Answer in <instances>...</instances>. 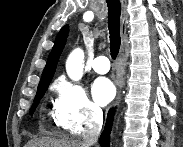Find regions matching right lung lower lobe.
Returning <instances> with one entry per match:
<instances>
[{
	"mask_svg": "<svg viewBox=\"0 0 183 147\" xmlns=\"http://www.w3.org/2000/svg\"><path fill=\"white\" fill-rule=\"evenodd\" d=\"M114 111H109L104 130L100 136V144L102 147H109L110 132L113 121Z\"/></svg>",
	"mask_w": 183,
	"mask_h": 147,
	"instance_id": "right-lung-lower-lobe-1",
	"label": "right lung lower lobe"
}]
</instances>
